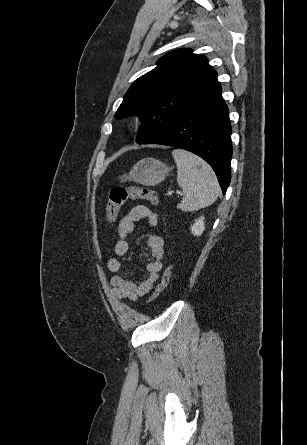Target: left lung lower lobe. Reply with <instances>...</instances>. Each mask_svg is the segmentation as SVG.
I'll return each instance as SVG.
<instances>
[{
	"mask_svg": "<svg viewBox=\"0 0 307 445\" xmlns=\"http://www.w3.org/2000/svg\"><path fill=\"white\" fill-rule=\"evenodd\" d=\"M141 144H162L193 152L211 165L225 195L230 183L231 125L221 86Z\"/></svg>",
	"mask_w": 307,
	"mask_h": 445,
	"instance_id": "left-lung-lower-lobe-1",
	"label": "left lung lower lobe"
}]
</instances>
